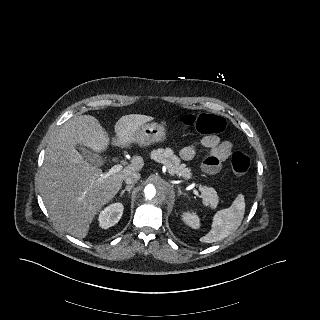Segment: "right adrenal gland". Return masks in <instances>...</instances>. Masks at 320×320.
Masks as SVG:
<instances>
[{"instance_id": "1", "label": "right adrenal gland", "mask_w": 320, "mask_h": 320, "mask_svg": "<svg viewBox=\"0 0 320 320\" xmlns=\"http://www.w3.org/2000/svg\"><path fill=\"white\" fill-rule=\"evenodd\" d=\"M134 187V185H129V186H126V188L124 190L121 191L120 193V196H123V194L128 191V193H130L131 189Z\"/></svg>"}]
</instances>
